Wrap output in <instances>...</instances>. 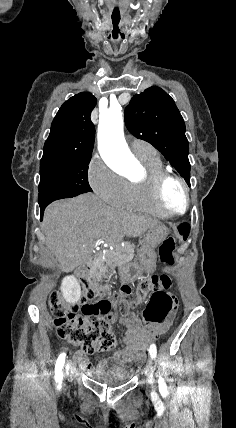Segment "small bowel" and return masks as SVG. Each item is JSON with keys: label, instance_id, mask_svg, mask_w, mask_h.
Returning a JSON list of instances; mask_svg holds the SVG:
<instances>
[{"label": "small bowel", "instance_id": "obj_1", "mask_svg": "<svg viewBox=\"0 0 236 428\" xmlns=\"http://www.w3.org/2000/svg\"><path fill=\"white\" fill-rule=\"evenodd\" d=\"M120 322L125 328L123 338L124 348L116 351L114 357L118 360L136 362L143 359L150 342L164 332L171 321L162 326L145 327L140 324L137 317L128 314V307H124ZM75 359L82 369L87 371H92L94 369L93 364L84 351L80 350L76 352ZM105 364V360L100 361L101 366Z\"/></svg>", "mask_w": 236, "mask_h": 428}]
</instances>
